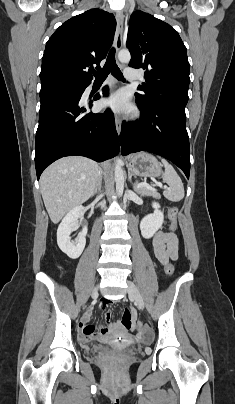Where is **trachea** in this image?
Instances as JSON below:
<instances>
[{
	"instance_id": "1",
	"label": "trachea",
	"mask_w": 235,
	"mask_h": 404,
	"mask_svg": "<svg viewBox=\"0 0 235 404\" xmlns=\"http://www.w3.org/2000/svg\"><path fill=\"white\" fill-rule=\"evenodd\" d=\"M109 73H111L119 81H125L122 72L116 64L114 48L110 50L104 67L100 71L94 72L95 81H104Z\"/></svg>"
}]
</instances>
